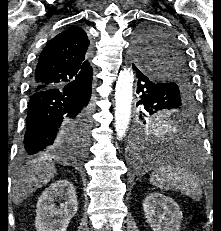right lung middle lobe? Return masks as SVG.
Wrapping results in <instances>:
<instances>
[{
    "mask_svg": "<svg viewBox=\"0 0 221 231\" xmlns=\"http://www.w3.org/2000/svg\"><path fill=\"white\" fill-rule=\"evenodd\" d=\"M90 110L82 114L75 122L71 124L74 136L85 144L89 140Z\"/></svg>",
    "mask_w": 221,
    "mask_h": 231,
    "instance_id": "right-lung-middle-lobe-1",
    "label": "right lung middle lobe"
}]
</instances>
